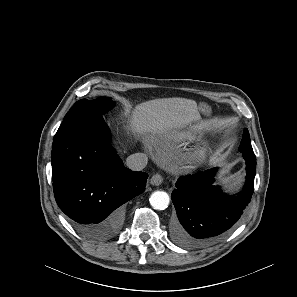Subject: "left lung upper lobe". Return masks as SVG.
Masks as SVG:
<instances>
[{
    "label": "left lung upper lobe",
    "instance_id": "left-lung-upper-lobe-1",
    "mask_svg": "<svg viewBox=\"0 0 297 297\" xmlns=\"http://www.w3.org/2000/svg\"><path fill=\"white\" fill-rule=\"evenodd\" d=\"M239 151L241 153H251L253 152L251 142H250V135L247 129L243 132V138L241 144L239 146Z\"/></svg>",
    "mask_w": 297,
    "mask_h": 297
}]
</instances>
